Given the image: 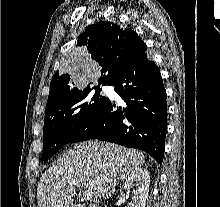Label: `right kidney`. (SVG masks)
Instances as JSON below:
<instances>
[{"instance_id":"1","label":"right kidney","mask_w":220,"mask_h":207,"mask_svg":"<svg viewBox=\"0 0 220 207\" xmlns=\"http://www.w3.org/2000/svg\"><path fill=\"white\" fill-rule=\"evenodd\" d=\"M136 189L132 191V207H145L149 193L150 176L144 168H136L126 178L124 189L129 193L133 186Z\"/></svg>"}]
</instances>
